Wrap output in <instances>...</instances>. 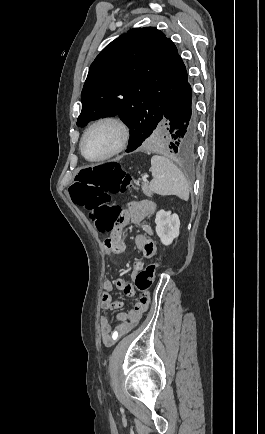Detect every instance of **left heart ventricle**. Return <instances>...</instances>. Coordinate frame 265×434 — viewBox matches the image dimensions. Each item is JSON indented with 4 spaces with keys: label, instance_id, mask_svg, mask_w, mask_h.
<instances>
[{
    "label": "left heart ventricle",
    "instance_id": "b2bd125f",
    "mask_svg": "<svg viewBox=\"0 0 265 434\" xmlns=\"http://www.w3.org/2000/svg\"><path fill=\"white\" fill-rule=\"evenodd\" d=\"M117 141V129L105 124L88 134L83 144V152L89 158H100L108 154L116 146Z\"/></svg>",
    "mask_w": 265,
    "mask_h": 434
}]
</instances>
